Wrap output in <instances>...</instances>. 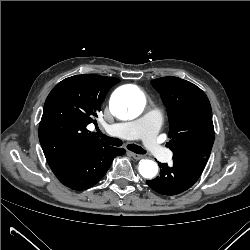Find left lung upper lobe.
Returning a JSON list of instances; mask_svg holds the SVG:
<instances>
[{
	"label": "left lung upper lobe",
	"mask_w": 250,
	"mask_h": 250,
	"mask_svg": "<svg viewBox=\"0 0 250 250\" xmlns=\"http://www.w3.org/2000/svg\"><path fill=\"white\" fill-rule=\"evenodd\" d=\"M167 108L170 122L168 145L173 160L206 158L214 142L212 109L205 93L196 85L178 77L152 80Z\"/></svg>",
	"instance_id": "5c2ea615"
}]
</instances>
